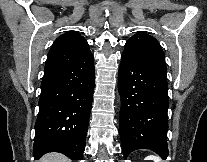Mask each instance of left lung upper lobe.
Wrapping results in <instances>:
<instances>
[{
    "label": "left lung upper lobe",
    "mask_w": 207,
    "mask_h": 162,
    "mask_svg": "<svg viewBox=\"0 0 207 162\" xmlns=\"http://www.w3.org/2000/svg\"><path fill=\"white\" fill-rule=\"evenodd\" d=\"M124 55L166 68L165 55L158 41L150 35L137 33L125 44Z\"/></svg>",
    "instance_id": "obj_1"
}]
</instances>
